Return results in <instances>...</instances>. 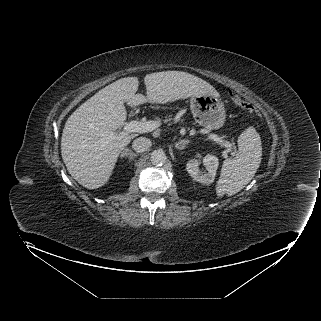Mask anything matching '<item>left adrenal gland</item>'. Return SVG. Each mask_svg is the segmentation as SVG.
Listing matches in <instances>:
<instances>
[{"mask_svg": "<svg viewBox=\"0 0 321 321\" xmlns=\"http://www.w3.org/2000/svg\"><path fill=\"white\" fill-rule=\"evenodd\" d=\"M189 143V140H180L178 143L175 144V148L183 150Z\"/></svg>", "mask_w": 321, "mask_h": 321, "instance_id": "a2214340", "label": "left adrenal gland"}]
</instances>
